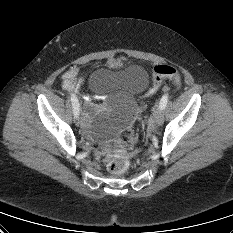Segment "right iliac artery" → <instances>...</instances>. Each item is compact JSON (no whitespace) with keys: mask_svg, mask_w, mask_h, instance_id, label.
Wrapping results in <instances>:
<instances>
[{"mask_svg":"<svg viewBox=\"0 0 233 233\" xmlns=\"http://www.w3.org/2000/svg\"><path fill=\"white\" fill-rule=\"evenodd\" d=\"M70 98H71V102H72L74 116H77V115H79V110H80L79 109L80 105H79L78 99H77L76 95H74V94H71Z\"/></svg>","mask_w":233,"mask_h":233,"instance_id":"right-iliac-artery-1","label":"right iliac artery"}]
</instances>
